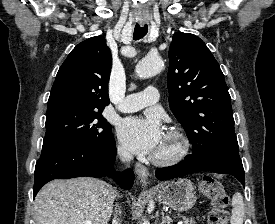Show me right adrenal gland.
Wrapping results in <instances>:
<instances>
[{"label": "right adrenal gland", "instance_id": "2a0ac1e0", "mask_svg": "<svg viewBox=\"0 0 275 224\" xmlns=\"http://www.w3.org/2000/svg\"><path fill=\"white\" fill-rule=\"evenodd\" d=\"M117 212H118L119 217H121V210H120V208H119V207H118ZM119 219H120V218H119ZM115 222H116V221L114 220V222H113L112 224H116Z\"/></svg>", "mask_w": 275, "mask_h": 224}]
</instances>
